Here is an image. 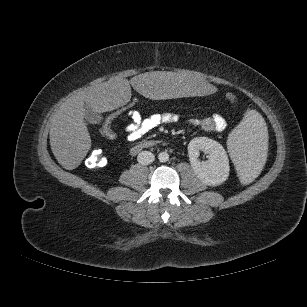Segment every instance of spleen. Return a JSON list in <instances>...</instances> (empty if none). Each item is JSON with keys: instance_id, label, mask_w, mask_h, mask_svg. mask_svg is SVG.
Returning <instances> with one entry per match:
<instances>
[{"instance_id": "1", "label": "spleen", "mask_w": 307, "mask_h": 307, "mask_svg": "<svg viewBox=\"0 0 307 307\" xmlns=\"http://www.w3.org/2000/svg\"><path fill=\"white\" fill-rule=\"evenodd\" d=\"M266 139L264 119L257 111L248 110L229 138L236 172L243 181L255 182L264 175L269 152Z\"/></svg>"}]
</instances>
